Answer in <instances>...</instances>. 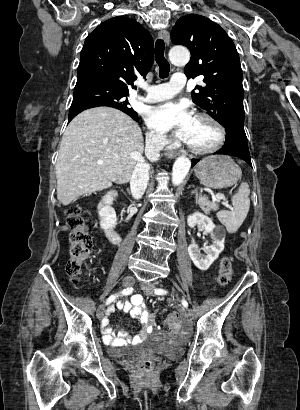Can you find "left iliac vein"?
Instances as JSON below:
<instances>
[{"label": "left iliac vein", "mask_w": 300, "mask_h": 410, "mask_svg": "<svg viewBox=\"0 0 300 410\" xmlns=\"http://www.w3.org/2000/svg\"><path fill=\"white\" fill-rule=\"evenodd\" d=\"M141 288L145 294L153 295V289L155 288V285L153 283H141ZM185 315L188 319H192L193 318L192 310L190 309L186 310Z\"/></svg>", "instance_id": "left-iliac-vein-1"}]
</instances>
